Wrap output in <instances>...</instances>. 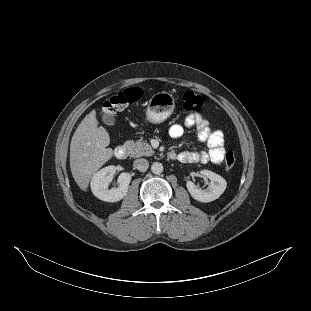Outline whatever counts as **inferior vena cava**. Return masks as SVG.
Masks as SVG:
<instances>
[{
	"label": "inferior vena cava",
	"instance_id": "inferior-vena-cava-1",
	"mask_svg": "<svg viewBox=\"0 0 311 311\" xmlns=\"http://www.w3.org/2000/svg\"><path fill=\"white\" fill-rule=\"evenodd\" d=\"M134 166L141 172H145L148 167H149V162L144 159V158H140V159H136L134 161Z\"/></svg>",
	"mask_w": 311,
	"mask_h": 311
}]
</instances>
